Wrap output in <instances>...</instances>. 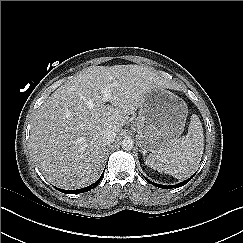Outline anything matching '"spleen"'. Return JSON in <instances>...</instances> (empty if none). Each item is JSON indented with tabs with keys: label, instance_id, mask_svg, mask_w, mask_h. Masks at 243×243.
<instances>
[{
	"label": "spleen",
	"instance_id": "spleen-1",
	"mask_svg": "<svg viewBox=\"0 0 243 243\" xmlns=\"http://www.w3.org/2000/svg\"><path fill=\"white\" fill-rule=\"evenodd\" d=\"M204 150V136L197 115L191 116L188 133L157 153L146 158L149 167L182 179L192 175L199 167Z\"/></svg>",
	"mask_w": 243,
	"mask_h": 243
}]
</instances>
